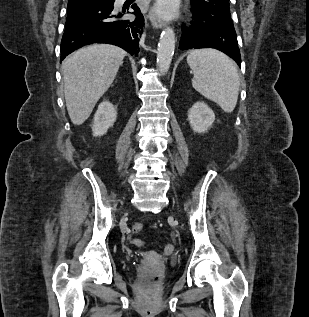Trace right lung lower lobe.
<instances>
[{
	"instance_id": "1",
	"label": "right lung lower lobe",
	"mask_w": 309,
	"mask_h": 317,
	"mask_svg": "<svg viewBox=\"0 0 309 317\" xmlns=\"http://www.w3.org/2000/svg\"><path fill=\"white\" fill-rule=\"evenodd\" d=\"M115 0H69L65 32L61 41L62 61L76 49L92 43L120 46L130 54H138V43L143 32L144 18L139 7L133 12L118 10ZM132 13L136 17L128 18Z\"/></svg>"
}]
</instances>
